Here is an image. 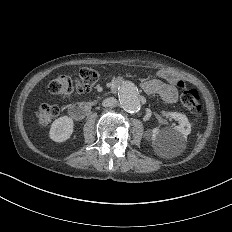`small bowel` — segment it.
Instances as JSON below:
<instances>
[{
  "instance_id": "1",
  "label": "small bowel",
  "mask_w": 232,
  "mask_h": 232,
  "mask_svg": "<svg viewBox=\"0 0 232 232\" xmlns=\"http://www.w3.org/2000/svg\"><path fill=\"white\" fill-rule=\"evenodd\" d=\"M143 89L147 94L160 95L165 102L176 100L175 88L170 83H163L157 79H146L142 83Z\"/></svg>"
}]
</instances>
